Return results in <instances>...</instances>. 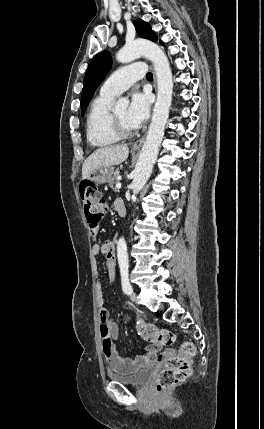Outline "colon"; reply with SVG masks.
<instances>
[{
    "mask_svg": "<svg viewBox=\"0 0 264 429\" xmlns=\"http://www.w3.org/2000/svg\"><path fill=\"white\" fill-rule=\"evenodd\" d=\"M80 195L87 222L95 229L107 211V202L94 183L85 180L80 184ZM136 329L140 337L157 346H170L175 342L172 331L139 321ZM195 347L190 342L183 343L179 351L167 356L164 369L160 372L156 382V390L162 393L172 386L185 380L192 371V358L195 355Z\"/></svg>",
    "mask_w": 264,
    "mask_h": 429,
    "instance_id": "obj_1",
    "label": "colon"
}]
</instances>
